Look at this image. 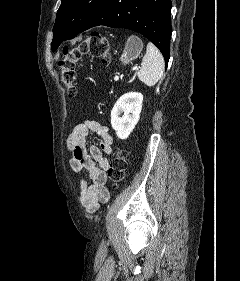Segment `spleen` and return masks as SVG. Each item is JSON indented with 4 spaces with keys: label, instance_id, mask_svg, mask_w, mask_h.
<instances>
[{
    "label": "spleen",
    "instance_id": "3e777b00",
    "mask_svg": "<svg viewBox=\"0 0 240 281\" xmlns=\"http://www.w3.org/2000/svg\"><path fill=\"white\" fill-rule=\"evenodd\" d=\"M164 72V58L157 47L149 42L146 54L142 60V66L137 72L141 82L148 87L154 86L162 77Z\"/></svg>",
    "mask_w": 240,
    "mask_h": 281
}]
</instances>
